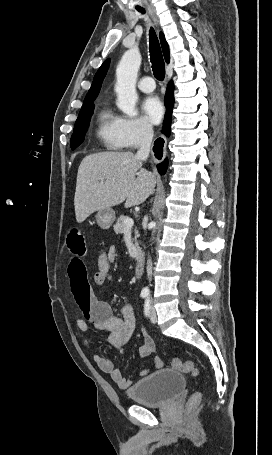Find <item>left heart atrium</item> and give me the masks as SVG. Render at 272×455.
I'll list each match as a JSON object with an SVG mask.
<instances>
[{"label": "left heart atrium", "instance_id": "39dd6f15", "mask_svg": "<svg viewBox=\"0 0 272 455\" xmlns=\"http://www.w3.org/2000/svg\"><path fill=\"white\" fill-rule=\"evenodd\" d=\"M142 109L151 123L158 124L161 121L164 110L161 101L156 96L147 97L142 103Z\"/></svg>", "mask_w": 272, "mask_h": 455}]
</instances>
